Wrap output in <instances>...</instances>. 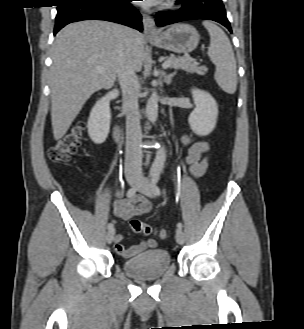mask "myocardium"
Segmentation results:
<instances>
[{"instance_id":"obj_1","label":"myocardium","mask_w":304,"mask_h":329,"mask_svg":"<svg viewBox=\"0 0 304 329\" xmlns=\"http://www.w3.org/2000/svg\"><path fill=\"white\" fill-rule=\"evenodd\" d=\"M174 1H175V0H165V1L163 2L162 6H163V7H170V6L173 5V2H174Z\"/></svg>"}]
</instances>
